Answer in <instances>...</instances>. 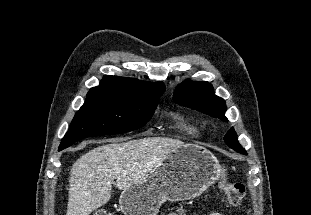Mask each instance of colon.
<instances>
[{
  "instance_id": "5ec220e1",
  "label": "colon",
  "mask_w": 311,
  "mask_h": 215,
  "mask_svg": "<svg viewBox=\"0 0 311 215\" xmlns=\"http://www.w3.org/2000/svg\"><path fill=\"white\" fill-rule=\"evenodd\" d=\"M222 190L227 195L229 203L234 207H241L244 204L246 197L245 186L241 183H222ZM92 215H112L105 209L96 210ZM168 215H178L176 213H171Z\"/></svg>"
}]
</instances>
